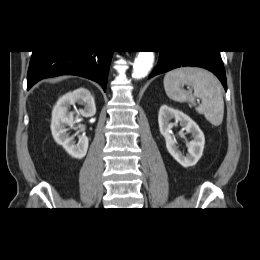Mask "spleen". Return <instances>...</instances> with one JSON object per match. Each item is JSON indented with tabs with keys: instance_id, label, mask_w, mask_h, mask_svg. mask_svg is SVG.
I'll list each match as a JSON object with an SVG mask.
<instances>
[{
	"instance_id": "spleen-1",
	"label": "spleen",
	"mask_w": 260,
	"mask_h": 260,
	"mask_svg": "<svg viewBox=\"0 0 260 260\" xmlns=\"http://www.w3.org/2000/svg\"><path fill=\"white\" fill-rule=\"evenodd\" d=\"M163 83L167 96L173 101L195 104V98H200L202 103L196 107V111L203 114L212 125H221L224 100L222 88L213 74L199 68L183 67L166 73ZM184 85L191 86L194 93H186L182 89Z\"/></svg>"
}]
</instances>
